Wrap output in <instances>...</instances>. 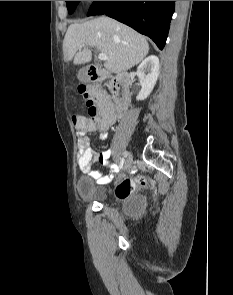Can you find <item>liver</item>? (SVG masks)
Here are the masks:
<instances>
[{
    "mask_svg": "<svg viewBox=\"0 0 233 295\" xmlns=\"http://www.w3.org/2000/svg\"><path fill=\"white\" fill-rule=\"evenodd\" d=\"M92 47L106 54L108 61L104 66L113 73L131 69L149 52L144 36L106 16L68 27L63 41L64 60H74L75 65L89 63L92 60Z\"/></svg>",
    "mask_w": 233,
    "mask_h": 295,
    "instance_id": "6515ba94",
    "label": "liver"
}]
</instances>
